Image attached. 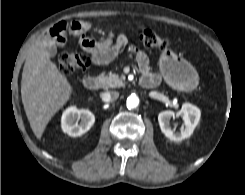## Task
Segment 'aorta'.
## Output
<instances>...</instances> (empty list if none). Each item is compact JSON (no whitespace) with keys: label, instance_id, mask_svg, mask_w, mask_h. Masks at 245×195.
Masks as SVG:
<instances>
[{"label":"aorta","instance_id":"1","mask_svg":"<svg viewBox=\"0 0 245 195\" xmlns=\"http://www.w3.org/2000/svg\"><path fill=\"white\" fill-rule=\"evenodd\" d=\"M139 105V98L136 94H131L127 99V107L129 109L136 108Z\"/></svg>","mask_w":245,"mask_h":195}]
</instances>
